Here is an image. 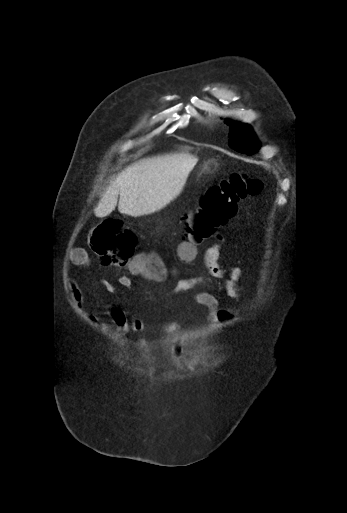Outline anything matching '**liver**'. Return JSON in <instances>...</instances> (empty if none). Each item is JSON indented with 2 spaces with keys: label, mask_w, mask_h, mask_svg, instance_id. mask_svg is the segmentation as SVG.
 I'll use <instances>...</instances> for the list:
<instances>
[{
  "label": "liver",
  "mask_w": 347,
  "mask_h": 513,
  "mask_svg": "<svg viewBox=\"0 0 347 513\" xmlns=\"http://www.w3.org/2000/svg\"><path fill=\"white\" fill-rule=\"evenodd\" d=\"M198 158L170 153L134 162L116 176L103 194L94 214L108 216L116 207L123 214L141 216L166 206L182 190Z\"/></svg>",
  "instance_id": "6515ba94"
}]
</instances>
